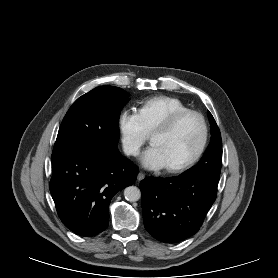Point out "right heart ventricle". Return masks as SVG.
Returning a JSON list of instances; mask_svg holds the SVG:
<instances>
[{"label":"right heart ventricle","instance_id":"e07e8e85","mask_svg":"<svg viewBox=\"0 0 278 278\" xmlns=\"http://www.w3.org/2000/svg\"><path fill=\"white\" fill-rule=\"evenodd\" d=\"M189 110L179 99L170 96H155L140 102L138 114L148 133L176 113Z\"/></svg>","mask_w":278,"mask_h":278}]
</instances>
